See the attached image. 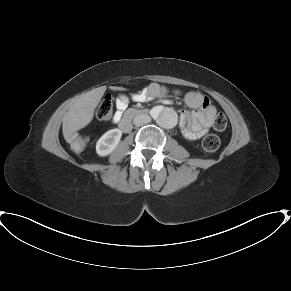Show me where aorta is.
<instances>
[{
	"mask_svg": "<svg viewBox=\"0 0 291 291\" xmlns=\"http://www.w3.org/2000/svg\"><path fill=\"white\" fill-rule=\"evenodd\" d=\"M154 117L157 124L163 128H173L177 122L176 113L169 108H164L154 112Z\"/></svg>",
	"mask_w": 291,
	"mask_h": 291,
	"instance_id": "1",
	"label": "aorta"
}]
</instances>
